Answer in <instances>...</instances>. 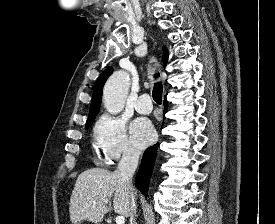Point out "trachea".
<instances>
[{
    "instance_id": "3493384b",
    "label": "trachea",
    "mask_w": 275,
    "mask_h": 224,
    "mask_svg": "<svg viewBox=\"0 0 275 224\" xmlns=\"http://www.w3.org/2000/svg\"><path fill=\"white\" fill-rule=\"evenodd\" d=\"M154 77L158 78L159 77V73H156L154 75ZM162 91H163V85H162V83L161 82L155 83L154 88H153V92H152V96H153L154 101L157 104H159V105L162 102Z\"/></svg>"
}]
</instances>
